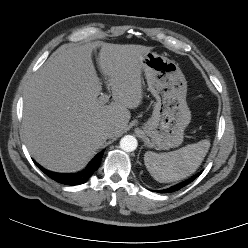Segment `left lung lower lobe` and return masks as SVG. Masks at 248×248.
<instances>
[{"mask_svg": "<svg viewBox=\"0 0 248 248\" xmlns=\"http://www.w3.org/2000/svg\"><path fill=\"white\" fill-rule=\"evenodd\" d=\"M200 174H201V172L199 174L194 175L193 177H191V178L179 183V184H176V185L171 186L170 188H167V189H164V190H159L157 192H159V193H172V192L178 191L179 189L185 187L186 185L191 183L193 180H195Z\"/></svg>", "mask_w": 248, "mask_h": 248, "instance_id": "1", "label": "left lung lower lobe"}]
</instances>
